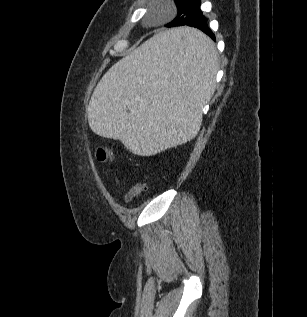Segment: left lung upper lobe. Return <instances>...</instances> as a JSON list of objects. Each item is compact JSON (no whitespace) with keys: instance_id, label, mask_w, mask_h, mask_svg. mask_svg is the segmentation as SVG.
<instances>
[{"instance_id":"1","label":"left lung upper lobe","mask_w":307,"mask_h":317,"mask_svg":"<svg viewBox=\"0 0 307 317\" xmlns=\"http://www.w3.org/2000/svg\"><path fill=\"white\" fill-rule=\"evenodd\" d=\"M177 7V15L175 19L167 24V27H175L182 25L184 18L189 19L194 16L200 7L201 0H174Z\"/></svg>"}]
</instances>
